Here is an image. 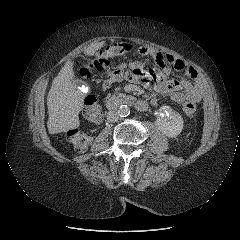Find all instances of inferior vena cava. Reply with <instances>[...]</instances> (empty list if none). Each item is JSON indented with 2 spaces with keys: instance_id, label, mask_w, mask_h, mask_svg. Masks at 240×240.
<instances>
[{
  "instance_id": "obj_1",
  "label": "inferior vena cava",
  "mask_w": 240,
  "mask_h": 240,
  "mask_svg": "<svg viewBox=\"0 0 240 240\" xmlns=\"http://www.w3.org/2000/svg\"><path fill=\"white\" fill-rule=\"evenodd\" d=\"M118 119H119L118 112L109 111V112L107 113V121H108V122L114 123V122L118 121Z\"/></svg>"
}]
</instances>
